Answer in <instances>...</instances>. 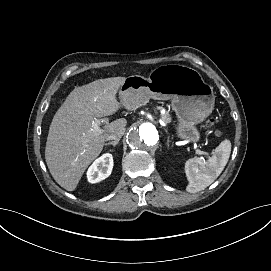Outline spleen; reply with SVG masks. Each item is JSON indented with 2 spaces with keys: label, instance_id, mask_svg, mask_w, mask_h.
Listing matches in <instances>:
<instances>
[{
  "label": "spleen",
  "instance_id": "spleen-1",
  "mask_svg": "<svg viewBox=\"0 0 271 271\" xmlns=\"http://www.w3.org/2000/svg\"><path fill=\"white\" fill-rule=\"evenodd\" d=\"M230 151L231 142L224 139L208 162H203L197 158L188 159L184 164L188 181L186 190L191 193L197 192L198 189L202 190L213 183L227 164Z\"/></svg>",
  "mask_w": 271,
  "mask_h": 271
}]
</instances>
